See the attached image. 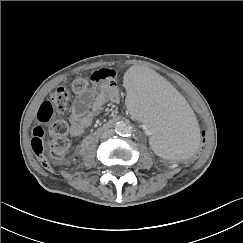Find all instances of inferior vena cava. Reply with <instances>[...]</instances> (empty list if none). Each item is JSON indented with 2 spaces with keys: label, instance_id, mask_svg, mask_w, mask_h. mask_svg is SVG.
Here are the masks:
<instances>
[{
  "label": "inferior vena cava",
  "instance_id": "1",
  "mask_svg": "<svg viewBox=\"0 0 243 243\" xmlns=\"http://www.w3.org/2000/svg\"><path fill=\"white\" fill-rule=\"evenodd\" d=\"M113 134H114L113 129H107V130L102 132L101 137L102 138H109V137L113 136Z\"/></svg>",
  "mask_w": 243,
  "mask_h": 243
}]
</instances>
